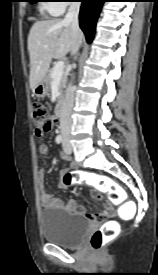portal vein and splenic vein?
I'll return each instance as SVG.
<instances>
[{"mask_svg": "<svg viewBox=\"0 0 158 275\" xmlns=\"http://www.w3.org/2000/svg\"><path fill=\"white\" fill-rule=\"evenodd\" d=\"M63 70H64V61H58L53 68L52 78L60 79L61 76L63 75Z\"/></svg>", "mask_w": 158, "mask_h": 275, "instance_id": "18ae733b", "label": "portal vein and splenic vein"}]
</instances>
